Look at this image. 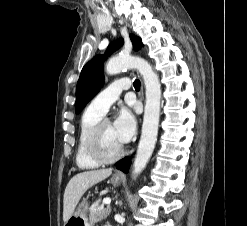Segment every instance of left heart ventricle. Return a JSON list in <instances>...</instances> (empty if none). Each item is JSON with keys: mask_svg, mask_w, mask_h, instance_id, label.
<instances>
[{"mask_svg": "<svg viewBox=\"0 0 247 226\" xmlns=\"http://www.w3.org/2000/svg\"><path fill=\"white\" fill-rule=\"evenodd\" d=\"M123 145L117 139L113 125L109 122L106 124L100 136V149L105 156L115 155Z\"/></svg>", "mask_w": 247, "mask_h": 226, "instance_id": "b2bd125f", "label": "left heart ventricle"}]
</instances>
